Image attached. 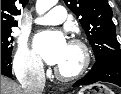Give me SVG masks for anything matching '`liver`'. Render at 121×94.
Here are the masks:
<instances>
[{
	"mask_svg": "<svg viewBox=\"0 0 121 94\" xmlns=\"http://www.w3.org/2000/svg\"><path fill=\"white\" fill-rule=\"evenodd\" d=\"M1 94H24L21 86L1 75Z\"/></svg>",
	"mask_w": 121,
	"mask_h": 94,
	"instance_id": "liver-1",
	"label": "liver"
}]
</instances>
